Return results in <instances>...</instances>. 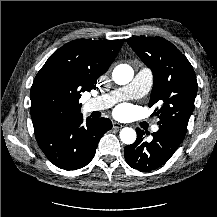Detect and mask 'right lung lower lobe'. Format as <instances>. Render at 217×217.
Instances as JSON below:
<instances>
[{"instance_id": "right-lung-lower-lobe-1", "label": "right lung lower lobe", "mask_w": 217, "mask_h": 217, "mask_svg": "<svg viewBox=\"0 0 217 217\" xmlns=\"http://www.w3.org/2000/svg\"><path fill=\"white\" fill-rule=\"evenodd\" d=\"M83 116L34 127L40 149L57 167L76 170L86 166L94 157L100 138L112 128L107 118H87L83 126Z\"/></svg>"}]
</instances>
